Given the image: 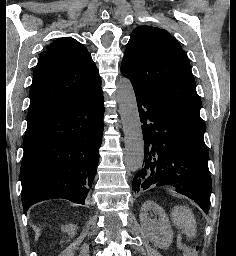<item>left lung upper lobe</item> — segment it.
I'll list each match as a JSON object with an SVG mask.
<instances>
[{
    "instance_id": "left-lung-upper-lobe-1",
    "label": "left lung upper lobe",
    "mask_w": 236,
    "mask_h": 256,
    "mask_svg": "<svg viewBox=\"0 0 236 256\" xmlns=\"http://www.w3.org/2000/svg\"><path fill=\"white\" fill-rule=\"evenodd\" d=\"M121 73L133 88L199 114L202 104L188 58L166 30L137 27L125 50Z\"/></svg>"
}]
</instances>
